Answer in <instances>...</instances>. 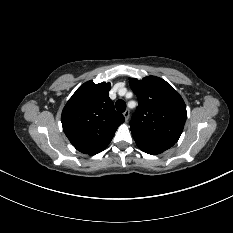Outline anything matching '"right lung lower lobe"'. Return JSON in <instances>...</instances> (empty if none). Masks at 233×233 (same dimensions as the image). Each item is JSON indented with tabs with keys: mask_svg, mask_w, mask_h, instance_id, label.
<instances>
[{
	"mask_svg": "<svg viewBox=\"0 0 233 233\" xmlns=\"http://www.w3.org/2000/svg\"><path fill=\"white\" fill-rule=\"evenodd\" d=\"M104 149H105V148H104ZM104 149H102V150H104ZM102 150H100V151H98V152H101ZM98 152L92 153V154H90V155H94V154H96V153H98Z\"/></svg>",
	"mask_w": 233,
	"mask_h": 233,
	"instance_id": "right-lung-lower-lobe-1",
	"label": "right lung lower lobe"
}]
</instances>
